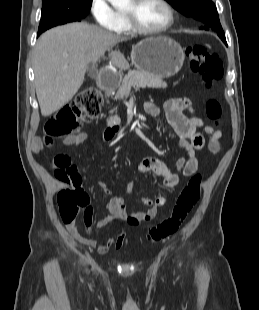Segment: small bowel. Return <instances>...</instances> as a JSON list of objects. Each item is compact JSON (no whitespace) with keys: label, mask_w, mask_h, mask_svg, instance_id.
<instances>
[{"label":"small bowel","mask_w":259,"mask_h":310,"mask_svg":"<svg viewBox=\"0 0 259 310\" xmlns=\"http://www.w3.org/2000/svg\"><path fill=\"white\" fill-rule=\"evenodd\" d=\"M146 113L153 117L161 115V108L154 102H146L144 105ZM163 111L168 123L179 136V146L183 149L187 157H180L176 161V168L183 176L189 177L193 175L199 165V159L196 152L201 150L206 145V140L203 134L199 131L204 128L205 132L210 135L208 148L211 153L216 154L220 149V139L222 133L209 125H205L204 121L193 115L194 106L192 102L185 98H174L167 100L163 105ZM190 115H186L185 113ZM87 133H79L69 136L62 140L65 146L78 147L88 140ZM43 149V144L40 139L35 138L31 143V150L37 154ZM139 173H153L163 178V185L169 193L173 192L179 182V175L173 173L168 166L161 160L153 157L142 159L138 165ZM99 187L106 194H110V189L106 182L100 181ZM141 201L149 206V209L141 212L128 213L124 199L121 196L110 197L107 203L108 215L98 219L95 223L96 227L102 228L113 222L121 220L122 225L118 229L116 237H109L102 243H97L95 239L82 237L75 225L67 226L68 231L75 237L82 240L84 244L90 247H96L99 254H107L112 247L117 249L123 247L125 242L126 229L125 225H139L153 219L160 207L164 206L167 197L164 194H158L155 198L149 199L141 197ZM93 209L90 207L84 215V223L86 229L92 226Z\"/></svg>","instance_id":"small-bowel-1"}]
</instances>
